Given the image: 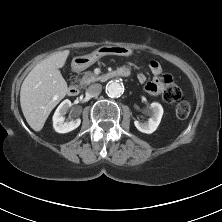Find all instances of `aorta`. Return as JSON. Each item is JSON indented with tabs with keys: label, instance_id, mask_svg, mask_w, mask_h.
<instances>
[{
	"label": "aorta",
	"instance_id": "obj_1",
	"mask_svg": "<svg viewBox=\"0 0 222 222\" xmlns=\"http://www.w3.org/2000/svg\"><path fill=\"white\" fill-rule=\"evenodd\" d=\"M124 91L123 84L118 80H112L106 85V93L110 97H119Z\"/></svg>",
	"mask_w": 222,
	"mask_h": 222
}]
</instances>
